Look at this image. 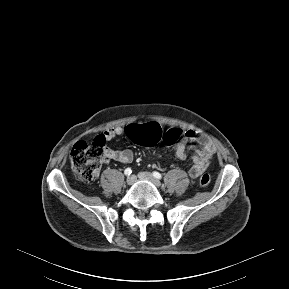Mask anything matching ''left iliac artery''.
Here are the masks:
<instances>
[{"mask_svg":"<svg viewBox=\"0 0 289 289\" xmlns=\"http://www.w3.org/2000/svg\"><path fill=\"white\" fill-rule=\"evenodd\" d=\"M153 176H154L155 178H157V179H161V178H162V175H161L159 172H157V171H154V172H153Z\"/></svg>","mask_w":289,"mask_h":289,"instance_id":"left-iliac-artery-1","label":"left iliac artery"}]
</instances>
